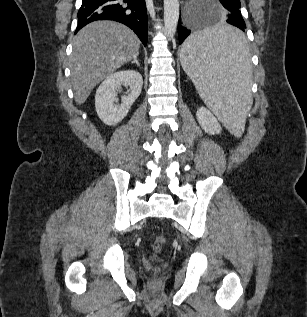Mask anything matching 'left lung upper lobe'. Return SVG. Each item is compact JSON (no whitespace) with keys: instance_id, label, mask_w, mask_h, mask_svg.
Returning <instances> with one entry per match:
<instances>
[{"instance_id":"1","label":"left lung upper lobe","mask_w":307,"mask_h":317,"mask_svg":"<svg viewBox=\"0 0 307 317\" xmlns=\"http://www.w3.org/2000/svg\"><path fill=\"white\" fill-rule=\"evenodd\" d=\"M225 1H226V4H227L226 8L230 12H233V13L241 16V11H240L241 4H240L239 0H225Z\"/></svg>"}]
</instances>
